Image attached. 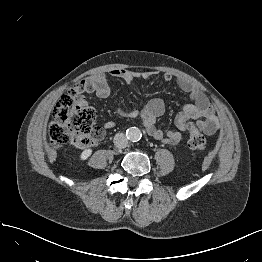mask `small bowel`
<instances>
[{
  "mask_svg": "<svg viewBox=\"0 0 262 262\" xmlns=\"http://www.w3.org/2000/svg\"><path fill=\"white\" fill-rule=\"evenodd\" d=\"M153 75L154 73L151 71L135 72L124 68H112L106 74L93 75L86 78L72 90L79 94H96L101 98H106L110 94L109 78L118 79L124 83H131L137 79H149ZM173 80L174 76L171 73L164 75L165 82H172ZM177 83L180 89L189 95L192 102L185 105L175 118L174 124L176 129L164 132L155 125L157 118L163 114L165 109L161 99L149 100L137 113L117 109V114L123 118L138 116L150 136L168 145H176L181 141L182 132L186 130L190 120L193 121L198 130L207 135L217 132L220 129V119L206 95L187 78H179ZM115 126L116 123L114 121H107L101 131V136L104 135L107 129Z\"/></svg>",
  "mask_w": 262,
  "mask_h": 262,
  "instance_id": "1",
  "label": "small bowel"
}]
</instances>
